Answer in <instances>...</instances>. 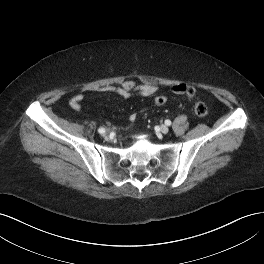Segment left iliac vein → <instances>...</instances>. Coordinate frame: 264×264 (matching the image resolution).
Returning <instances> with one entry per match:
<instances>
[{
  "label": "left iliac vein",
  "mask_w": 264,
  "mask_h": 264,
  "mask_svg": "<svg viewBox=\"0 0 264 264\" xmlns=\"http://www.w3.org/2000/svg\"><path fill=\"white\" fill-rule=\"evenodd\" d=\"M160 131H161V133H163V134H167L168 131H169V128H168L166 125H161V126H160Z\"/></svg>",
  "instance_id": "obj_1"
}]
</instances>
